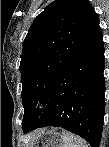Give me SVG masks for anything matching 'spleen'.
Listing matches in <instances>:
<instances>
[{
	"mask_svg": "<svg viewBox=\"0 0 109 147\" xmlns=\"http://www.w3.org/2000/svg\"><path fill=\"white\" fill-rule=\"evenodd\" d=\"M64 147H88L87 142L79 136L70 132L63 133Z\"/></svg>",
	"mask_w": 109,
	"mask_h": 147,
	"instance_id": "1",
	"label": "spleen"
}]
</instances>
